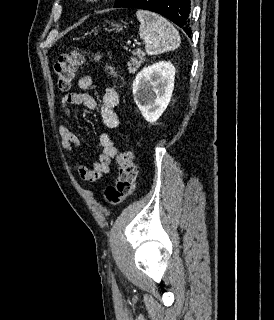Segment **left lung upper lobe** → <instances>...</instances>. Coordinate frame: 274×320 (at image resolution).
Masks as SVG:
<instances>
[{"mask_svg":"<svg viewBox=\"0 0 274 320\" xmlns=\"http://www.w3.org/2000/svg\"><path fill=\"white\" fill-rule=\"evenodd\" d=\"M129 0H116L114 7H122L125 3H127Z\"/></svg>","mask_w":274,"mask_h":320,"instance_id":"1","label":"left lung upper lobe"}]
</instances>
